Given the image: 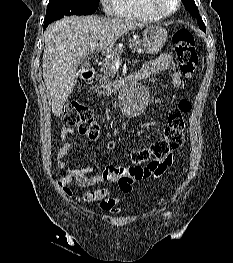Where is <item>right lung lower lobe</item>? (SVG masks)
Returning <instances> with one entry per match:
<instances>
[{"label":"right lung lower lobe","instance_id":"right-lung-lower-lobe-1","mask_svg":"<svg viewBox=\"0 0 233 263\" xmlns=\"http://www.w3.org/2000/svg\"><path fill=\"white\" fill-rule=\"evenodd\" d=\"M50 23H51L50 21H44V26H43V28L46 29V27H47Z\"/></svg>","mask_w":233,"mask_h":263}]
</instances>
